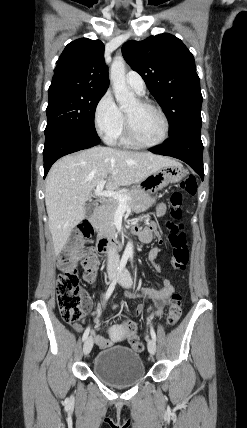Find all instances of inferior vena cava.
<instances>
[{"label":"inferior vena cava","instance_id":"602c4592","mask_svg":"<svg viewBox=\"0 0 247 428\" xmlns=\"http://www.w3.org/2000/svg\"><path fill=\"white\" fill-rule=\"evenodd\" d=\"M107 254H108L107 267L109 269H113V268L118 267L120 260H119V254H118L116 248L112 247V246L109 247Z\"/></svg>","mask_w":247,"mask_h":428}]
</instances>
